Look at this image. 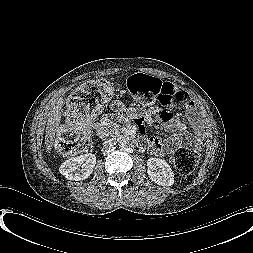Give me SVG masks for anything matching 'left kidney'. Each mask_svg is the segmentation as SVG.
<instances>
[{
	"mask_svg": "<svg viewBox=\"0 0 253 253\" xmlns=\"http://www.w3.org/2000/svg\"><path fill=\"white\" fill-rule=\"evenodd\" d=\"M147 173L154 183L161 186H171L174 184V173L170 165L160 158H149L147 161Z\"/></svg>",
	"mask_w": 253,
	"mask_h": 253,
	"instance_id": "5707ae66",
	"label": "left kidney"
}]
</instances>
